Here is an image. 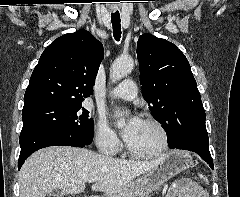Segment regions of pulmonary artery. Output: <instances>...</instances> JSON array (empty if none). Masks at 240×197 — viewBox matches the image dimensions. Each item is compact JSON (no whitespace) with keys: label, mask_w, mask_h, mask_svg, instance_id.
Segmentation results:
<instances>
[{"label":"pulmonary artery","mask_w":240,"mask_h":197,"mask_svg":"<svg viewBox=\"0 0 240 197\" xmlns=\"http://www.w3.org/2000/svg\"><path fill=\"white\" fill-rule=\"evenodd\" d=\"M137 85L131 79H126L110 91V96L125 100H132L137 96Z\"/></svg>","instance_id":"pulmonary-artery-1"}]
</instances>
